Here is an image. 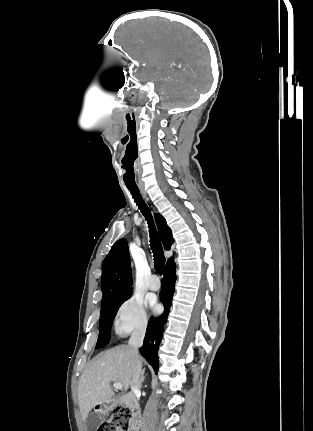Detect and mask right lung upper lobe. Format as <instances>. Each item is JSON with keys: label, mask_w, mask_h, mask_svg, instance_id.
<instances>
[{"label": "right lung upper lobe", "mask_w": 313, "mask_h": 431, "mask_svg": "<svg viewBox=\"0 0 313 431\" xmlns=\"http://www.w3.org/2000/svg\"><path fill=\"white\" fill-rule=\"evenodd\" d=\"M160 238L166 250H170L174 242L171 229L164 217L155 214ZM102 303L132 294V273L130 256L126 239L118 240L106 256L102 267Z\"/></svg>", "instance_id": "obj_1"}]
</instances>
